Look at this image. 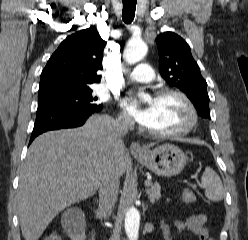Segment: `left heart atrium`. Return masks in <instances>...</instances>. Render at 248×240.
I'll use <instances>...</instances> for the list:
<instances>
[{
  "label": "left heart atrium",
  "mask_w": 248,
  "mask_h": 240,
  "mask_svg": "<svg viewBox=\"0 0 248 240\" xmlns=\"http://www.w3.org/2000/svg\"><path fill=\"white\" fill-rule=\"evenodd\" d=\"M124 107L129 114L142 126L149 127L154 119V109L151 104L139 105L132 97L128 96L124 100Z\"/></svg>",
  "instance_id": "left-heart-atrium-1"
}]
</instances>
